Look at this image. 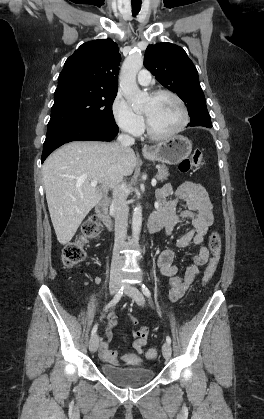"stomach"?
Segmentation results:
<instances>
[{
    "instance_id": "stomach-1",
    "label": "stomach",
    "mask_w": 264,
    "mask_h": 419,
    "mask_svg": "<svg viewBox=\"0 0 264 419\" xmlns=\"http://www.w3.org/2000/svg\"><path fill=\"white\" fill-rule=\"evenodd\" d=\"M191 151V141L187 137L176 135L159 143L153 148L151 153L144 154V156L148 160L174 165L187 158Z\"/></svg>"
}]
</instances>
